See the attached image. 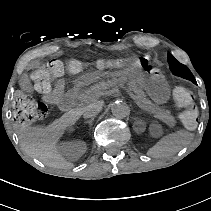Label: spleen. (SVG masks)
<instances>
[{
  "label": "spleen",
  "instance_id": "spleen-1",
  "mask_svg": "<svg viewBox=\"0 0 211 211\" xmlns=\"http://www.w3.org/2000/svg\"><path fill=\"white\" fill-rule=\"evenodd\" d=\"M194 139V134L187 130H179L172 134L161 137L146 154L152 158H168L183 147L189 145Z\"/></svg>",
  "mask_w": 211,
  "mask_h": 211
}]
</instances>
